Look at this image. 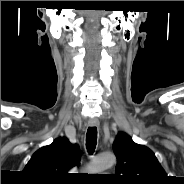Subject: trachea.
<instances>
[{"instance_id": "1", "label": "trachea", "mask_w": 184, "mask_h": 184, "mask_svg": "<svg viewBox=\"0 0 184 184\" xmlns=\"http://www.w3.org/2000/svg\"><path fill=\"white\" fill-rule=\"evenodd\" d=\"M97 144V128L89 127L86 133V148L89 154H93Z\"/></svg>"}]
</instances>
